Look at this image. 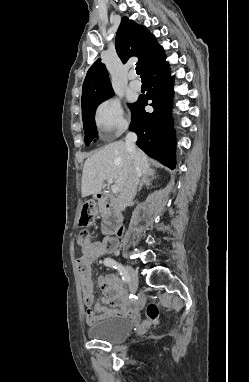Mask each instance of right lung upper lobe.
I'll return each instance as SVG.
<instances>
[{
    "mask_svg": "<svg viewBox=\"0 0 249 382\" xmlns=\"http://www.w3.org/2000/svg\"><path fill=\"white\" fill-rule=\"evenodd\" d=\"M116 51L123 62L130 57H138L143 72L160 56L164 55L155 37L144 26L123 17L116 34ZM113 96L106 67L98 59L90 67L85 77L81 105L84 110L92 101Z\"/></svg>",
    "mask_w": 249,
    "mask_h": 382,
    "instance_id": "1",
    "label": "right lung upper lobe"
}]
</instances>
